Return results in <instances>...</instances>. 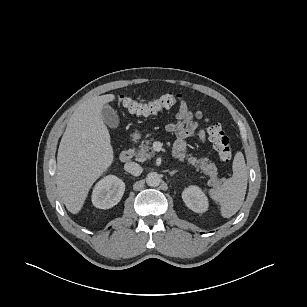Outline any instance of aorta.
<instances>
[{
	"instance_id": "obj_1",
	"label": "aorta",
	"mask_w": 307,
	"mask_h": 307,
	"mask_svg": "<svg viewBox=\"0 0 307 307\" xmlns=\"http://www.w3.org/2000/svg\"><path fill=\"white\" fill-rule=\"evenodd\" d=\"M146 182L151 187L159 186L161 182V177L156 172H150L146 177Z\"/></svg>"
}]
</instances>
